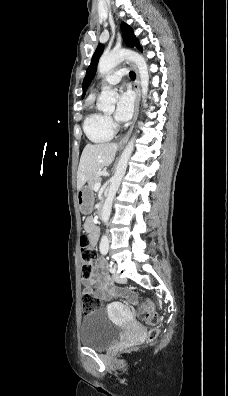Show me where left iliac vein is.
<instances>
[{"mask_svg": "<svg viewBox=\"0 0 228 396\" xmlns=\"http://www.w3.org/2000/svg\"><path fill=\"white\" fill-rule=\"evenodd\" d=\"M113 279L118 283H124L126 280L123 279L119 274L116 272L113 273Z\"/></svg>", "mask_w": 228, "mask_h": 396, "instance_id": "left-iliac-vein-1", "label": "left iliac vein"}]
</instances>
